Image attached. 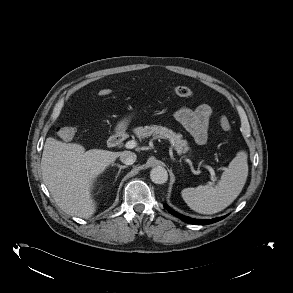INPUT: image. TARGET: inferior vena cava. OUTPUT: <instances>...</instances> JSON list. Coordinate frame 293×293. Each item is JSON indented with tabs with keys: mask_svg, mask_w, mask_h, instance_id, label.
I'll return each instance as SVG.
<instances>
[{
	"mask_svg": "<svg viewBox=\"0 0 293 293\" xmlns=\"http://www.w3.org/2000/svg\"><path fill=\"white\" fill-rule=\"evenodd\" d=\"M137 159V156L134 152L123 151L120 153V160L126 165H132Z\"/></svg>",
	"mask_w": 293,
	"mask_h": 293,
	"instance_id": "1",
	"label": "inferior vena cava"
}]
</instances>
